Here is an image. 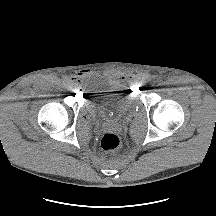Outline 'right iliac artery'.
<instances>
[{"mask_svg":"<svg viewBox=\"0 0 216 216\" xmlns=\"http://www.w3.org/2000/svg\"><path fill=\"white\" fill-rule=\"evenodd\" d=\"M66 85H67L68 87H73L74 84H73V82H71V81H67V82H66Z\"/></svg>","mask_w":216,"mask_h":216,"instance_id":"82829eb1","label":"right iliac artery"}]
</instances>
